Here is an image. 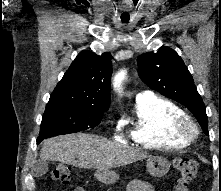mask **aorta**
<instances>
[{"label":"aorta","instance_id":"obj_1","mask_svg":"<svg viewBox=\"0 0 221 191\" xmlns=\"http://www.w3.org/2000/svg\"><path fill=\"white\" fill-rule=\"evenodd\" d=\"M125 75H126V71L124 70H121L120 72H118L116 74V76L114 77V81H113V87L116 91H118L119 93L121 92L122 90V83H123V80L125 78Z\"/></svg>","mask_w":221,"mask_h":191}]
</instances>
